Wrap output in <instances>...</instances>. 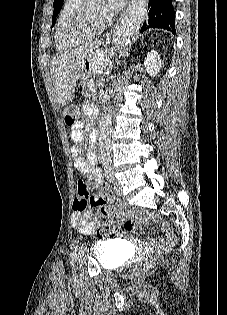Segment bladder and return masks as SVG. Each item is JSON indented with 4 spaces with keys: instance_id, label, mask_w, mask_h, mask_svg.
I'll return each mask as SVG.
<instances>
[{
    "instance_id": "bladder-1",
    "label": "bladder",
    "mask_w": 227,
    "mask_h": 315,
    "mask_svg": "<svg viewBox=\"0 0 227 315\" xmlns=\"http://www.w3.org/2000/svg\"><path fill=\"white\" fill-rule=\"evenodd\" d=\"M95 261L105 269H114L122 265L126 258L125 248L114 241H97L91 248Z\"/></svg>"
}]
</instances>
